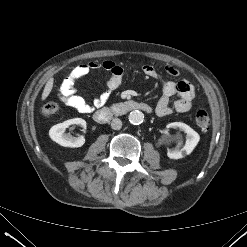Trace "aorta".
Segmentation results:
<instances>
[{
	"label": "aorta",
	"mask_w": 247,
	"mask_h": 247,
	"mask_svg": "<svg viewBox=\"0 0 247 247\" xmlns=\"http://www.w3.org/2000/svg\"><path fill=\"white\" fill-rule=\"evenodd\" d=\"M128 120L133 125H140L144 121V114L139 110H133L129 113Z\"/></svg>",
	"instance_id": "762f6f07"
}]
</instances>
